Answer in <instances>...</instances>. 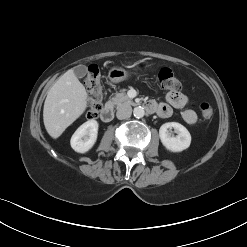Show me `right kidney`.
<instances>
[{
    "label": "right kidney",
    "mask_w": 247,
    "mask_h": 247,
    "mask_svg": "<svg viewBox=\"0 0 247 247\" xmlns=\"http://www.w3.org/2000/svg\"><path fill=\"white\" fill-rule=\"evenodd\" d=\"M98 127L96 120L83 123L71 137L70 144L73 150L78 153L89 151L97 140Z\"/></svg>",
    "instance_id": "1"
}]
</instances>
